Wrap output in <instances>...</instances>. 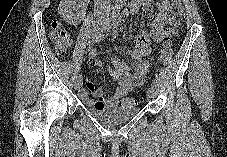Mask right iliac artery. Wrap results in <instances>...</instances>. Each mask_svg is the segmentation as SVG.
<instances>
[{"label": "right iliac artery", "instance_id": "82829eb1", "mask_svg": "<svg viewBox=\"0 0 227 157\" xmlns=\"http://www.w3.org/2000/svg\"><path fill=\"white\" fill-rule=\"evenodd\" d=\"M98 30H99V28L96 29L97 32L94 34V36L96 37V39H97L98 41H103V36H102L101 32H99ZM77 72H78V71H77ZM76 77L80 79V78H81V75H78V74L76 73Z\"/></svg>", "mask_w": 227, "mask_h": 157}]
</instances>
